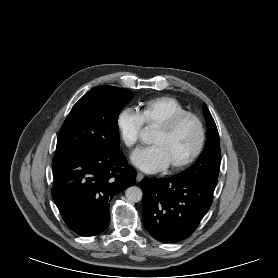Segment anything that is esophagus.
<instances>
[{"label":"esophagus","instance_id":"obj_1","mask_svg":"<svg viewBox=\"0 0 278 278\" xmlns=\"http://www.w3.org/2000/svg\"><path fill=\"white\" fill-rule=\"evenodd\" d=\"M143 178H144V175L142 173L138 172L137 177H136L137 182H140L141 180H143Z\"/></svg>","mask_w":278,"mask_h":278}]
</instances>
